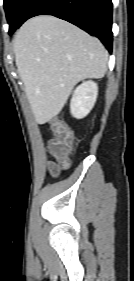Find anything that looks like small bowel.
<instances>
[{"instance_id": "small-bowel-1", "label": "small bowel", "mask_w": 134, "mask_h": 281, "mask_svg": "<svg viewBox=\"0 0 134 281\" xmlns=\"http://www.w3.org/2000/svg\"><path fill=\"white\" fill-rule=\"evenodd\" d=\"M61 169L62 168H60L56 162L54 161L48 162V170L53 176H58L61 172Z\"/></svg>"}]
</instances>
